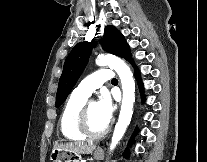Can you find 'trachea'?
I'll return each mask as SVG.
<instances>
[{
    "instance_id": "trachea-1",
    "label": "trachea",
    "mask_w": 207,
    "mask_h": 162,
    "mask_svg": "<svg viewBox=\"0 0 207 162\" xmlns=\"http://www.w3.org/2000/svg\"><path fill=\"white\" fill-rule=\"evenodd\" d=\"M112 82H118V80L116 78H113Z\"/></svg>"
}]
</instances>
